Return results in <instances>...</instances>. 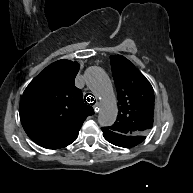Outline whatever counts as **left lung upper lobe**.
I'll list each match as a JSON object with an SVG mask.
<instances>
[{
  "instance_id": "obj_1",
  "label": "left lung upper lobe",
  "mask_w": 193,
  "mask_h": 193,
  "mask_svg": "<svg viewBox=\"0 0 193 193\" xmlns=\"http://www.w3.org/2000/svg\"><path fill=\"white\" fill-rule=\"evenodd\" d=\"M112 74L118 94V116L111 127L118 134L143 140L153 126L154 93L145 76L125 57L110 56Z\"/></svg>"
}]
</instances>
